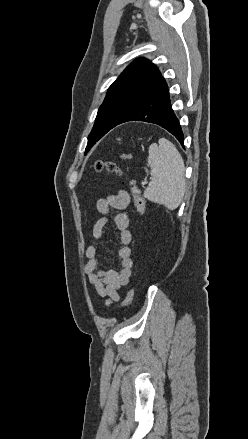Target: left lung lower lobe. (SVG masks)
Wrapping results in <instances>:
<instances>
[{
    "label": "left lung lower lobe",
    "instance_id": "obj_1",
    "mask_svg": "<svg viewBox=\"0 0 248 439\" xmlns=\"http://www.w3.org/2000/svg\"><path fill=\"white\" fill-rule=\"evenodd\" d=\"M128 121L157 124L173 134L184 147V135L171 107L168 86L162 77L117 125Z\"/></svg>",
    "mask_w": 248,
    "mask_h": 439
}]
</instances>
